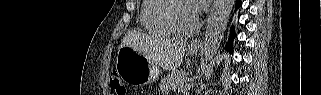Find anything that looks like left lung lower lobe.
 Wrapping results in <instances>:
<instances>
[{"label":"left lung lower lobe","mask_w":321,"mask_h":95,"mask_svg":"<svg viewBox=\"0 0 321 95\" xmlns=\"http://www.w3.org/2000/svg\"><path fill=\"white\" fill-rule=\"evenodd\" d=\"M242 4L241 0H237L236 2V8L240 7ZM233 39H234V30L231 29V33H230V38H229V41L226 45V50H228L230 53L233 52Z\"/></svg>","instance_id":"obj_1"}]
</instances>
